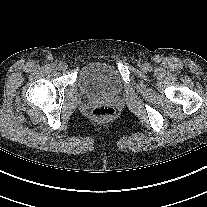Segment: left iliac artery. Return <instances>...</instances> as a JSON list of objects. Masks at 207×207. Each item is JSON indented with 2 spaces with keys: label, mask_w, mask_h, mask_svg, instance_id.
Wrapping results in <instances>:
<instances>
[{
  "label": "left iliac artery",
  "mask_w": 207,
  "mask_h": 207,
  "mask_svg": "<svg viewBox=\"0 0 207 207\" xmlns=\"http://www.w3.org/2000/svg\"><path fill=\"white\" fill-rule=\"evenodd\" d=\"M151 67H150V65L149 64H147V69L149 70Z\"/></svg>",
  "instance_id": "left-iliac-artery-1"
}]
</instances>
